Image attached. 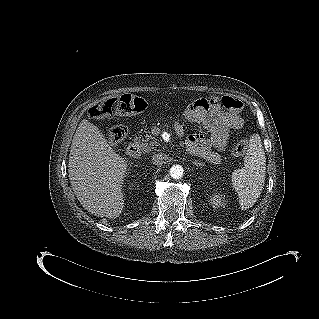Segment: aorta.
<instances>
[{
  "instance_id": "obj_1",
  "label": "aorta",
  "mask_w": 319,
  "mask_h": 319,
  "mask_svg": "<svg viewBox=\"0 0 319 319\" xmlns=\"http://www.w3.org/2000/svg\"><path fill=\"white\" fill-rule=\"evenodd\" d=\"M183 168L180 165H173L170 168V176L173 179H180L183 176Z\"/></svg>"
}]
</instances>
